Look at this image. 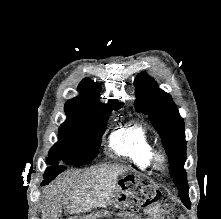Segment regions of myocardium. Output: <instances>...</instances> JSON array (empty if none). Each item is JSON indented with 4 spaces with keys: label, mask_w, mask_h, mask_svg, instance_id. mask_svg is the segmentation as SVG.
Wrapping results in <instances>:
<instances>
[{
    "label": "myocardium",
    "mask_w": 221,
    "mask_h": 219,
    "mask_svg": "<svg viewBox=\"0 0 221 219\" xmlns=\"http://www.w3.org/2000/svg\"><path fill=\"white\" fill-rule=\"evenodd\" d=\"M166 156L160 151H153L151 155V164L156 170H164L166 167Z\"/></svg>",
    "instance_id": "myocardium-1"
}]
</instances>
